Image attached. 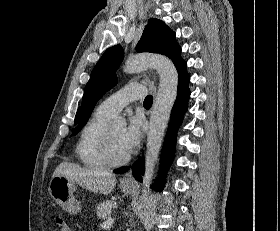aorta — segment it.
<instances>
[{"label":"aorta","instance_id":"1","mask_svg":"<svg viewBox=\"0 0 280 231\" xmlns=\"http://www.w3.org/2000/svg\"><path fill=\"white\" fill-rule=\"evenodd\" d=\"M147 68H154L159 76L158 92L150 116V125L147 135V147L145 155V173L143 175L142 195L138 203L139 209H144L147 203V195L150 189L155 165L158 161L160 147L162 145L165 129L168 125L171 110L177 96L178 72L171 60L159 54H141L135 58L126 60L123 72L136 74ZM114 123H126L125 117L118 116Z\"/></svg>","mask_w":280,"mask_h":231}]
</instances>
